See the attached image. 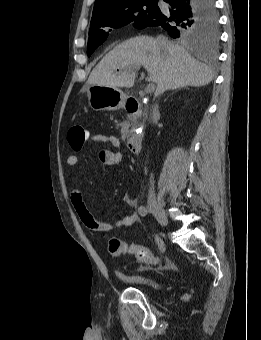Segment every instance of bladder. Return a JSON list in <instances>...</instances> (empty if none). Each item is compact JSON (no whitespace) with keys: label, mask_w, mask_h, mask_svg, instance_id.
<instances>
[{"label":"bladder","mask_w":261,"mask_h":340,"mask_svg":"<svg viewBox=\"0 0 261 340\" xmlns=\"http://www.w3.org/2000/svg\"><path fill=\"white\" fill-rule=\"evenodd\" d=\"M119 277L120 279L133 285L146 286L153 289L161 288L160 283L155 278L152 277H145L139 275H125L123 273H119Z\"/></svg>","instance_id":"obj_1"}]
</instances>
